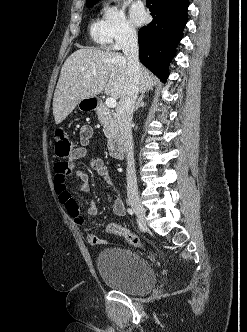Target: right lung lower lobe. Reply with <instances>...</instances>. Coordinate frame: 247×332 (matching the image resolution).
Masks as SVG:
<instances>
[{
	"instance_id": "obj_1",
	"label": "right lung lower lobe",
	"mask_w": 247,
	"mask_h": 332,
	"mask_svg": "<svg viewBox=\"0 0 247 332\" xmlns=\"http://www.w3.org/2000/svg\"><path fill=\"white\" fill-rule=\"evenodd\" d=\"M146 3L153 20L139 31L140 61L166 82L170 61L187 23L189 0H147Z\"/></svg>"
}]
</instances>
